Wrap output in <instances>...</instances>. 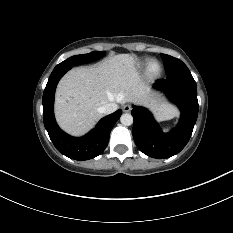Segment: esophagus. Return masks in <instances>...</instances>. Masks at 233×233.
I'll list each match as a JSON object with an SVG mask.
<instances>
[{
    "mask_svg": "<svg viewBox=\"0 0 233 233\" xmlns=\"http://www.w3.org/2000/svg\"><path fill=\"white\" fill-rule=\"evenodd\" d=\"M131 110H132L131 105H129V104L123 105V111L124 112H130Z\"/></svg>",
    "mask_w": 233,
    "mask_h": 233,
    "instance_id": "1",
    "label": "esophagus"
}]
</instances>
